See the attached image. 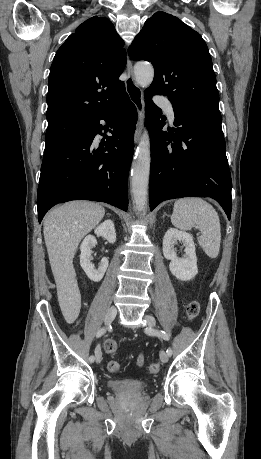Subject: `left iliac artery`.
Masks as SVG:
<instances>
[{
	"mask_svg": "<svg viewBox=\"0 0 261 459\" xmlns=\"http://www.w3.org/2000/svg\"><path fill=\"white\" fill-rule=\"evenodd\" d=\"M145 331H146V333L149 334V335H156V336H158V337H161V338L164 339V340H167V341L169 340V336L166 334V332H164V331H162V330H154V329H152V328H148V329H146ZM166 352H167V354H168L169 356L172 355V349H171L170 347L167 349Z\"/></svg>",
	"mask_w": 261,
	"mask_h": 459,
	"instance_id": "obj_1",
	"label": "left iliac artery"
}]
</instances>
